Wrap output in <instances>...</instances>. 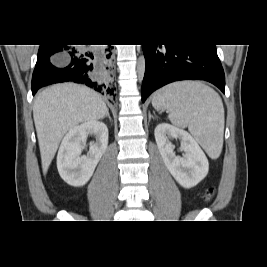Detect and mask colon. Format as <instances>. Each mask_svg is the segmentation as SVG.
<instances>
[{
  "label": "colon",
  "instance_id": "5ec220e1",
  "mask_svg": "<svg viewBox=\"0 0 267 267\" xmlns=\"http://www.w3.org/2000/svg\"><path fill=\"white\" fill-rule=\"evenodd\" d=\"M212 194H213V190L210 189V190L208 191V193H207V198H210V197L212 196Z\"/></svg>",
  "mask_w": 267,
  "mask_h": 267
}]
</instances>
